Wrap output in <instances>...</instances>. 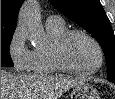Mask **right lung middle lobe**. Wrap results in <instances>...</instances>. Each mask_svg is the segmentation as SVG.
Here are the masks:
<instances>
[{"label": "right lung middle lobe", "mask_w": 115, "mask_h": 99, "mask_svg": "<svg viewBox=\"0 0 115 99\" xmlns=\"http://www.w3.org/2000/svg\"><path fill=\"white\" fill-rule=\"evenodd\" d=\"M14 31H1V67H11L13 62L9 53Z\"/></svg>", "instance_id": "right-lung-middle-lobe-1"}]
</instances>
